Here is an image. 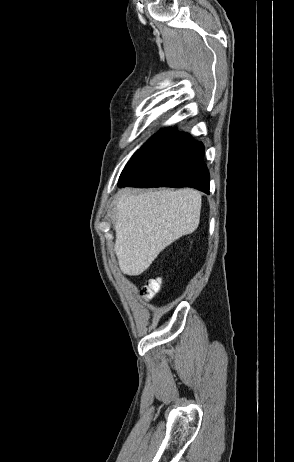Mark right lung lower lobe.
Returning <instances> with one entry per match:
<instances>
[{
    "instance_id": "1",
    "label": "right lung lower lobe",
    "mask_w": 294,
    "mask_h": 462,
    "mask_svg": "<svg viewBox=\"0 0 294 462\" xmlns=\"http://www.w3.org/2000/svg\"><path fill=\"white\" fill-rule=\"evenodd\" d=\"M119 187H193L209 194L204 146L175 130L143 150L124 168Z\"/></svg>"
}]
</instances>
